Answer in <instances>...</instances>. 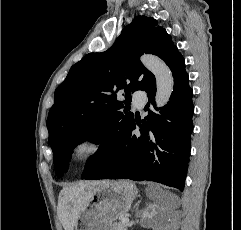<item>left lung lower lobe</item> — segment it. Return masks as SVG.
<instances>
[{
    "instance_id": "1",
    "label": "left lung lower lobe",
    "mask_w": 241,
    "mask_h": 230,
    "mask_svg": "<svg viewBox=\"0 0 241 230\" xmlns=\"http://www.w3.org/2000/svg\"><path fill=\"white\" fill-rule=\"evenodd\" d=\"M169 68L174 88L167 105L156 108V83L150 85L145 91L158 112L149 111L141 124L134 120L116 139L101 144L87 160L82 179L148 180L183 190L193 131V90L181 54ZM136 123L140 135L133 133Z\"/></svg>"
}]
</instances>
